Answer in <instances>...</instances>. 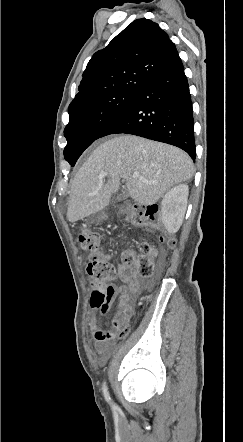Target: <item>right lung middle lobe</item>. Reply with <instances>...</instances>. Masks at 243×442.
<instances>
[{"label": "right lung middle lobe", "mask_w": 243, "mask_h": 442, "mask_svg": "<svg viewBox=\"0 0 243 442\" xmlns=\"http://www.w3.org/2000/svg\"><path fill=\"white\" fill-rule=\"evenodd\" d=\"M136 91H118L77 107L69 113L70 120L64 130L67 145L64 157L74 166L83 151L96 139L102 129L122 110Z\"/></svg>", "instance_id": "1"}]
</instances>
